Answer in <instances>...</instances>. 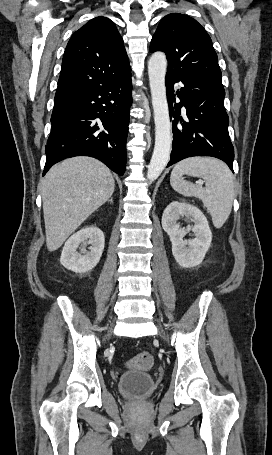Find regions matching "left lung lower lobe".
Listing matches in <instances>:
<instances>
[{"label":"left lung lower lobe","instance_id":"obj_1","mask_svg":"<svg viewBox=\"0 0 272 455\" xmlns=\"http://www.w3.org/2000/svg\"><path fill=\"white\" fill-rule=\"evenodd\" d=\"M182 83L175 102L173 85ZM173 144L170 165L191 156H212L223 160L233 172L234 148L228 133L229 118L224 107L225 91L221 79L190 72L166 74ZM185 107L186 113L181 114Z\"/></svg>","mask_w":272,"mask_h":455}]
</instances>
